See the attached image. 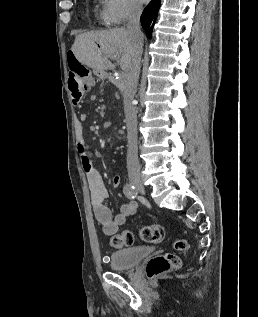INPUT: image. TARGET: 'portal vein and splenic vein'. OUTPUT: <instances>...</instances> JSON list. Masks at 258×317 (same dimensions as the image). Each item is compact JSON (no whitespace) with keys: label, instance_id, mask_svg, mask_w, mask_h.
Returning a JSON list of instances; mask_svg holds the SVG:
<instances>
[{"label":"portal vein and splenic vein","instance_id":"obj_1","mask_svg":"<svg viewBox=\"0 0 258 317\" xmlns=\"http://www.w3.org/2000/svg\"><path fill=\"white\" fill-rule=\"evenodd\" d=\"M118 54H111V58H117Z\"/></svg>","mask_w":258,"mask_h":317}]
</instances>
